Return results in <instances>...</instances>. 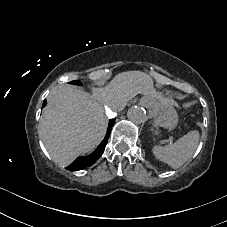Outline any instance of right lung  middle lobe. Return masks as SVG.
<instances>
[{"instance_id": "right-lung-middle-lobe-1", "label": "right lung middle lobe", "mask_w": 227, "mask_h": 227, "mask_svg": "<svg viewBox=\"0 0 227 227\" xmlns=\"http://www.w3.org/2000/svg\"><path fill=\"white\" fill-rule=\"evenodd\" d=\"M71 84H73V85H81V82L80 81H72V82H70Z\"/></svg>"}]
</instances>
